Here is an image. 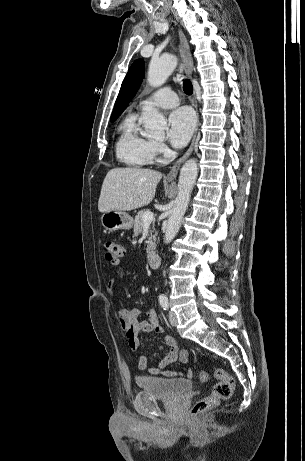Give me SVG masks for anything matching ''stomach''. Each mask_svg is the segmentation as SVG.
Listing matches in <instances>:
<instances>
[{
	"label": "stomach",
	"mask_w": 305,
	"mask_h": 461,
	"mask_svg": "<svg viewBox=\"0 0 305 461\" xmlns=\"http://www.w3.org/2000/svg\"><path fill=\"white\" fill-rule=\"evenodd\" d=\"M101 223L106 230H130L133 226V218L123 211H107L101 216Z\"/></svg>",
	"instance_id": "0dacf381"
}]
</instances>
